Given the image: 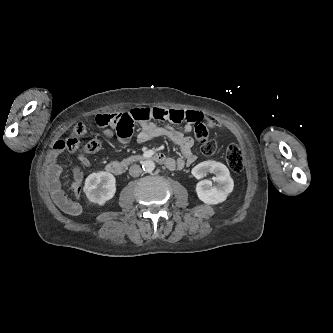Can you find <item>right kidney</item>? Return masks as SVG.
<instances>
[{
    "instance_id": "right-kidney-1",
    "label": "right kidney",
    "mask_w": 333,
    "mask_h": 333,
    "mask_svg": "<svg viewBox=\"0 0 333 333\" xmlns=\"http://www.w3.org/2000/svg\"><path fill=\"white\" fill-rule=\"evenodd\" d=\"M116 192L115 177L105 171L90 174L84 185V193L91 203L104 205Z\"/></svg>"
}]
</instances>
